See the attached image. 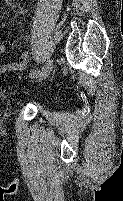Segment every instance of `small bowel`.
Wrapping results in <instances>:
<instances>
[{"mask_svg": "<svg viewBox=\"0 0 123 201\" xmlns=\"http://www.w3.org/2000/svg\"><path fill=\"white\" fill-rule=\"evenodd\" d=\"M5 50L6 45L0 43V57L4 54ZM27 61L28 53L26 51H22L17 62L0 65V74L22 70L25 68Z\"/></svg>", "mask_w": 123, "mask_h": 201, "instance_id": "small-bowel-1", "label": "small bowel"}]
</instances>
